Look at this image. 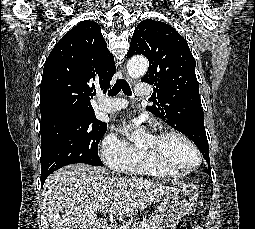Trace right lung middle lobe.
I'll return each instance as SVG.
<instances>
[{"label":"right lung middle lobe","instance_id":"right-lung-middle-lobe-1","mask_svg":"<svg viewBox=\"0 0 255 229\" xmlns=\"http://www.w3.org/2000/svg\"><path fill=\"white\" fill-rule=\"evenodd\" d=\"M107 124L94 114L54 115L41 119V175L74 163L101 166L98 144Z\"/></svg>","mask_w":255,"mask_h":229}]
</instances>
